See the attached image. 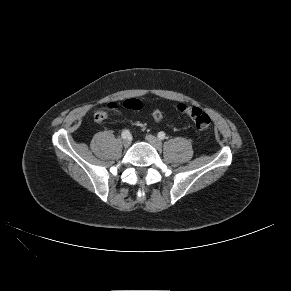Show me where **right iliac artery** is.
<instances>
[{"label":"right iliac artery","mask_w":291,"mask_h":291,"mask_svg":"<svg viewBox=\"0 0 291 291\" xmlns=\"http://www.w3.org/2000/svg\"><path fill=\"white\" fill-rule=\"evenodd\" d=\"M123 139L129 138L130 137V132L129 130H124L121 134Z\"/></svg>","instance_id":"82829eb1"}]
</instances>
